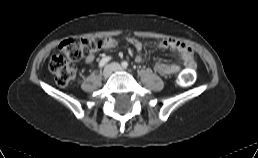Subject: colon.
Wrapping results in <instances>:
<instances>
[{
	"mask_svg": "<svg viewBox=\"0 0 258 158\" xmlns=\"http://www.w3.org/2000/svg\"><path fill=\"white\" fill-rule=\"evenodd\" d=\"M104 40L99 37H75L62 41L49 63V69L54 75L57 84L67 86L72 83L77 76L76 61L85 55L87 56L102 49ZM193 80V70L187 69L180 75L178 82L182 86H187Z\"/></svg>",
	"mask_w": 258,
	"mask_h": 158,
	"instance_id": "colon-1",
	"label": "colon"
}]
</instances>
